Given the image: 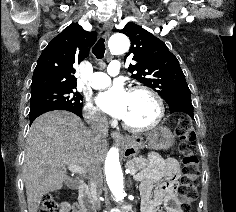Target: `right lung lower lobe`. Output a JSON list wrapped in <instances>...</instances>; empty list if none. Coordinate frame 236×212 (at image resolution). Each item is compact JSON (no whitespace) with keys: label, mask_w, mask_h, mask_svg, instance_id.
Masks as SVG:
<instances>
[{"label":"right lung lower lobe","mask_w":236,"mask_h":212,"mask_svg":"<svg viewBox=\"0 0 236 212\" xmlns=\"http://www.w3.org/2000/svg\"><path fill=\"white\" fill-rule=\"evenodd\" d=\"M52 110H67V111L75 113L79 117H82L81 110H79V109L61 108V107H53V106H37V107H34V108H30V113H29L30 124L39 115H41L45 112H48V111H52Z\"/></svg>","instance_id":"obj_1"}]
</instances>
